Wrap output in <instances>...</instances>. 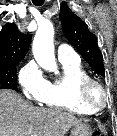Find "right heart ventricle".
I'll use <instances>...</instances> for the list:
<instances>
[{
	"label": "right heart ventricle",
	"mask_w": 117,
	"mask_h": 136,
	"mask_svg": "<svg viewBox=\"0 0 117 136\" xmlns=\"http://www.w3.org/2000/svg\"><path fill=\"white\" fill-rule=\"evenodd\" d=\"M62 76L48 82L42 103L48 107L77 115H93L96 111L86 107L78 98V84L89 78L80 61L61 62Z\"/></svg>",
	"instance_id": "right-heart-ventricle-1"
}]
</instances>
